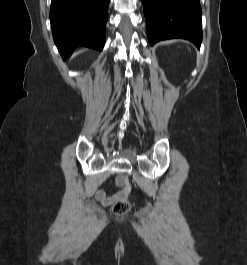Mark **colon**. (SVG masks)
Wrapping results in <instances>:
<instances>
[{
    "mask_svg": "<svg viewBox=\"0 0 247 265\" xmlns=\"http://www.w3.org/2000/svg\"><path fill=\"white\" fill-rule=\"evenodd\" d=\"M119 182L122 186V189L126 192L129 193L131 190V184L126 178H119ZM130 210V203L126 198H121L118 199L117 201L114 202L112 206V211L116 216H124L125 214L128 213Z\"/></svg>",
    "mask_w": 247,
    "mask_h": 265,
    "instance_id": "5ec220e1",
    "label": "colon"
}]
</instances>
